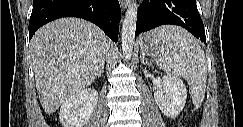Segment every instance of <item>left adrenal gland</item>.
<instances>
[{
    "label": "left adrenal gland",
    "instance_id": "1",
    "mask_svg": "<svg viewBox=\"0 0 243 127\" xmlns=\"http://www.w3.org/2000/svg\"><path fill=\"white\" fill-rule=\"evenodd\" d=\"M140 62L143 65L149 66V63L147 62V60L145 59L144 55H142V54H140Z\"/></svg>",
    "mask_w": 243,
    "mask_h": 127
}]
</instances>
